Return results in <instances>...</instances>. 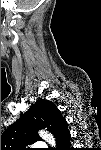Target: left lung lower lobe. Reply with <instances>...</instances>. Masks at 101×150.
Returning a JSON list of instances; mask_svg holds the SVG:
<instances>
[{
    "instance_id": "0a47b994",
    "label": "left lung lower lobe",
    "mask_w": 101,
    "mask_h": 150,
    "mask_svg": "<svg viewBox=\"0 0 101 150\" xmlns=\"http://www.w3.org/2000/svg\"><path fill=\"white\" fill-rule=\"evenodd\" d=\"M58 144H65V145H69L70 143V133L69 131H65L64 135L60 136L58 139Z\"/></svg>"
}]
</instances>
